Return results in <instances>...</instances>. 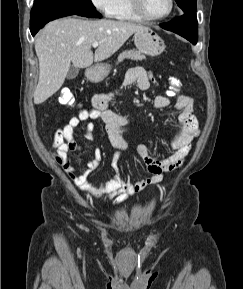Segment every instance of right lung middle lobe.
I'll return each instance as SVG.
<instances>
[{
    "label": "right lung middle lobe",
    "mask_w": 243,
    "mask_h": 289,
    "mask_svg": "<svg viewBox=\"0 0 243 289\" xmlns=\"http://www.w3.org/2000/svg\"><path fill=\"white\" fill-rule=\"evenodd\" d=\"M44 1L49 3H56L59 5H73L87 8H95L91 0H34V2Z\"/></svg>",
    "instance_id": "1"
}]
</instances>
